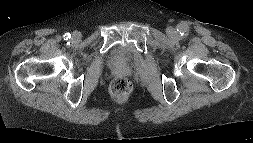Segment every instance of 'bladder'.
I'll use <instances>...</instances> for the list:
<instances>
[{"mask_svg":"<svg viewBox=\"0 0 253 143\" xmlns=\"http://www.w3.org/2000/svg\"><path fill=\"white\" fill-rule=\"evenodd\" d=\"M123 58L124 56L122 51L120 49H116L112 54L111 60L115 64H120L123 62Z\"/></svg>","mask_w":253,"mask_h":143,"instance_id":"obj_1","label":"bladder"}]
</instances>
